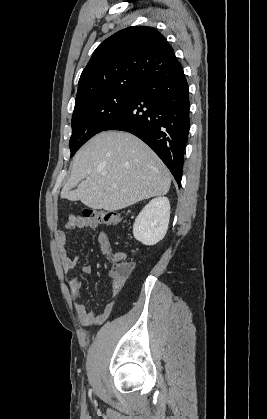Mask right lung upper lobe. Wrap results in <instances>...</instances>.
<instances>
[{
  "label": "right lung upper lobe",
  "instance_id": "obj_1",
  "mask_svg": "<svg viewBox=\"0 0 267 419\" xmlns=\"http://www.w3.org/2000/svg\"><path fill=\"white\" fill-rule=\"evenodd\" d=\"M177 59L155 28L133 26L118 31L94 51L83 70L75 103L92 95L127 86H141L151 75Z\"/></svg>",
  "mask_w": 267,
  "mask_h": 419
}]
</instances>
